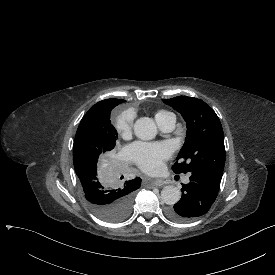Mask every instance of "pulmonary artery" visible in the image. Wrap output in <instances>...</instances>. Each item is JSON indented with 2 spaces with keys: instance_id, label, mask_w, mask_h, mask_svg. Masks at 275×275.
Listing matches in <instances>:
<instances>
[{
  "instance_id": "1",
  "label": "pulmonary artery",
  "mask_w": 275,
  "mask_h": 275,
  "mask_svg": "<svg viewBox=\"0 0 275 275\" xmlns=\"http://www.w3.org/2000/svg\"><path fill=\"white\" fill-rule=\"evenodd\" d=\"M158 127L163 132H170L174 129L176 123V117L174 114H170L167 117L156 120ZM183 183H188L190 181L189 175H186L182 179Z\"/></svg>"
}]
</instances>
